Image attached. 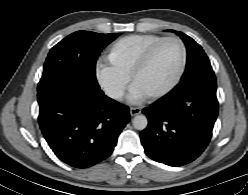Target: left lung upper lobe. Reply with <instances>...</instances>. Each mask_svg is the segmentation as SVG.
<instances>
[{"label": "left lung upper lobe", "mask_w": 248, "mask_h": 195, "mask_svg": "<svg viewBox=\"0 0 248 195\" xmlns=\"http://www.w3.org/2000/svg\"><path fill=\"white\" fill-rule=\"evenodd\" d=\"M177 34L184 41L188 53L186 70L177 87L180 90H186L202 85H216L213 69L202 47L186 34L182 32H177Z\"/></svg>", "instance_id": "left-lung-upper-lobe-1"}]
</instances>
